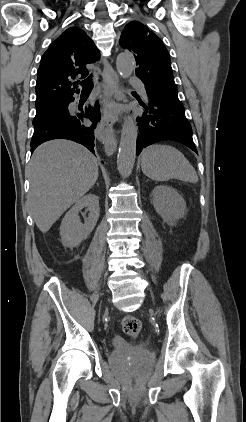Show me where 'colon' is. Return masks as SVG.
<instances>
[{"mask_svg":"<svg viewBox=\"0 0 246 422\" xmlns=\"http://www.w3.org/2000/svg\"><path fill=\"white\" fill-rule=\"evenodd\" d=\"M123 332L130 337H137L141 331V321L132 315L123 317L121 321Z\"/></svg>","mask_w":246,"mask_h":422,"instance_id":"5ec220e1","label":"colon"}]
</instances>
